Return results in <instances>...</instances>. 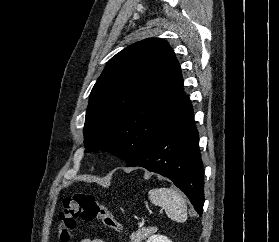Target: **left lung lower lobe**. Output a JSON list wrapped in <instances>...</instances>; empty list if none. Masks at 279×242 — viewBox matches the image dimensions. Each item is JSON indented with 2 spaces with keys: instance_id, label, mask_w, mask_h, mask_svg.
<instances>
[{
  "instance_id": "0a47b994",
  "label": "left lung lower lobe",
  "mask_w": 279,
  "mask_h": 242,
  "mask_svg": "<svg viewBox=\"0 0 279 242\" xmlns=\"http://www.w3.org/2000/svg\"><path fill=\"white\" fill-rule=\"evenodd\" d=\"M194 112L188 100L181 114L126 167L140 166L172 180L202 214L204 173Z\"/></svg>"
}]
</instances>
